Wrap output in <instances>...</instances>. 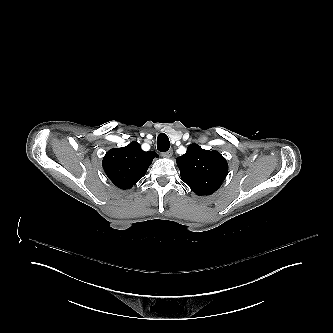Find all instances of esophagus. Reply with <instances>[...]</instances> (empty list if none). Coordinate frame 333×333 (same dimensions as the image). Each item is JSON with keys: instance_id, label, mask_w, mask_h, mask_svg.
I'll return each mask as SVG.
<instances>
[{"instance_id": "esophagus-1", "label": "esophagus", "mask_w": 333, "mask_h": 333, "mask_svg": "<svg viewBox=\"0 0 333 333\" xmlns=\"http://www.w3.org/2000/svg\"><path fill=\"white\" fill-rule=\"evenodd\" d=\"M172 155H173L172 150H169V151L162 154V156L165 157V158H170Z\"/></svg>"}]
</instances>
